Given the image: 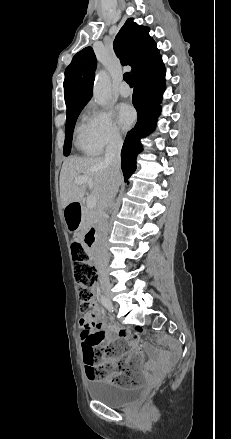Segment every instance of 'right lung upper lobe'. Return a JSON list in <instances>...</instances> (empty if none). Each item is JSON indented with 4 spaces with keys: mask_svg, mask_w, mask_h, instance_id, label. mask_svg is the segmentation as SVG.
Instances as JSON below:
<instances>
[{
    "mask_svg": "<svg viewBox=\"0 0 231 439\" xmlns=\"http://www.w3.org/2000/svg\"><path fill=\"white\" fill-rule=\"evenodd\" d=\"M113 48L122 65L132 67L133 77L161 57L156 43L149 36V28L136 24L132 18L118 32ZM96 63L92 47H86L75 54L66 68L63 86L67 110L86 105L91 99Z\"/></svg>",
    "mask_w": 231,
    "mask_h": 439,
    "instance_id": "obj_1",
    "label": "right lung upper lobe"
}]
</instances>
